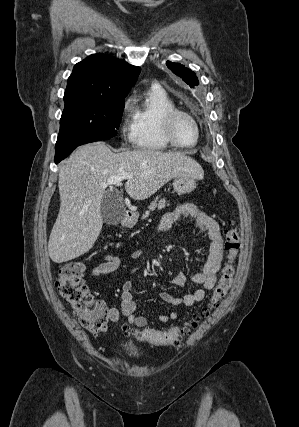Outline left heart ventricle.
Listing matches in <instances>:
<instances>
[{"label":"left heart ventricle","mask_w":299,"mask_h":427,"mask_svg":"<svg viewBox=\"0 0 299 427\" xmlns=\"http://www.w3.org/2000/svg\"><path fill=\"white\" fill-rule=\"evenodd\" d=\"M173 133L177 142L191 144L196 139V128L192 120L187 117H178L173 125Z\"/></svg>","instance_id":"1"}]
</instances>
